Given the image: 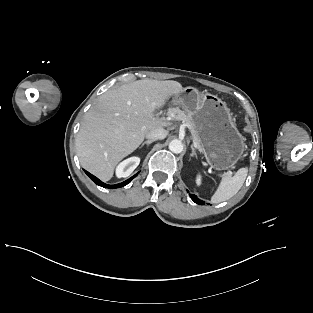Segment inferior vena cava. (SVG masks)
<instances>
[{
  "mask_svg": "<svg viewBox=\"0 0 313 313\" xmlns=\"http://www.w3.org/2000/svg\"><path fill=\"white\" fill-rule=\"evenodd\" d=\"M168 132L164 129H155V130H152L150 131L147 135H146V138L148 140H162L164 138H166Z\"/></svg>",
  "mask_w": 313,
  "mask_h": 313,
  "instance_id": "inferior-vena-cava-1",
  "label": "inferior vena cava"
}]
</instances>
